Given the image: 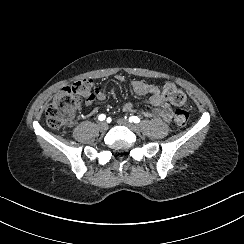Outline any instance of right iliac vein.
Instances as JSON below:
<instances>
[{"instance_id": "1", "label": "right iliac vein", "mask_w": 244, "mask_h": 244, "mask_svg": "<svg viewBox=\"0 0 244 244\" xmlns=\"http://www.w3.org/2000/svg\"><path fill=\"white\" fill-rule=\"evenodd\" d=\"M98 128L100 131L105 132L108 129V123L106 121L100 122Z\"/></svg>"}]
</instances>
